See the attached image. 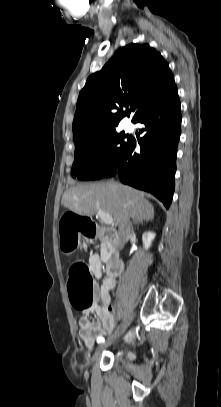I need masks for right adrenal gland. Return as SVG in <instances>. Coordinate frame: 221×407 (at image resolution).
<instances>
[{"label": "right adrenal gland", "instance_id": "2a0ac1e0", "mask_svg": "<svg viewBox=\"0 0 221 407\" xmlns=\"http://www.w3.org/2000/svg\"><path fill=\"white\" fill-rule=\"evenodd\" d=\"M135 225L142 223V221L135 219L133 222Z\"/></svg>", "mask_w": 221, "mask_h": 407}]
</instances>
